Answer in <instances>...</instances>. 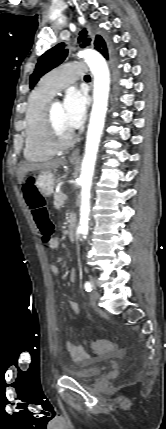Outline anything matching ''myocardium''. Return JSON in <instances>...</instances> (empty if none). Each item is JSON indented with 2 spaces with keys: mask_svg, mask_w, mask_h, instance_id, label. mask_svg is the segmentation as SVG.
Masks as SVG:
<instances>
[{
  "mask_svg": "<svg viewBox=\"0 0 166 429\" xmlns=\"http://www.w3.org/2000/svg\"><path fill=\"white\" fill-rule=\"evenodd\" d=\"M54 103H56V101L51 100L45 108L43 122L44 135L47 145L54 151H60L69 148L73 144L75 134L73 131H71L70 134L65 138L59 137L52 117V107Z\"/></svg>",
  "mask_w": 166,
  "mask_h": 429,
  "instance_id": "f54148a6",
  "label": "myocardium"
}]
</instances>
